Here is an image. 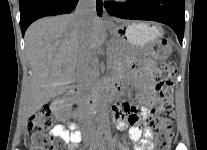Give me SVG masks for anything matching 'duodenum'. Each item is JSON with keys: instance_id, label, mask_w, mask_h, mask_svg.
<instances>
[{"instance_id": "410a0bca", "label": "duodenum", "mask_w": 207, "mask_h": 150, "mask_svg": "<svg viewBox=\"0 0 207 150\" xmlns=\"http://www.w3.org/2000/svg\"><path fill=\"white\" fill-rule=\"evenodd\" d=\"M111 90H112V86L109 83H105L99 86L93 94V98L91 101V108L94 109L100 100H105L109 98ZM80 91L81 88L78 85H73L68 92V98L73 99L80 93ZM77 114L78 112L76 111V115Z\"/></svg>"}]
</instances>
